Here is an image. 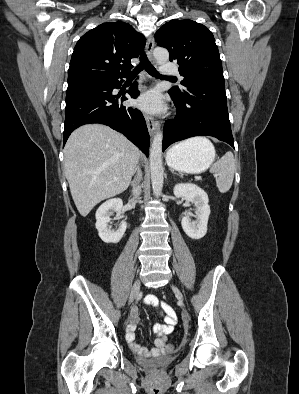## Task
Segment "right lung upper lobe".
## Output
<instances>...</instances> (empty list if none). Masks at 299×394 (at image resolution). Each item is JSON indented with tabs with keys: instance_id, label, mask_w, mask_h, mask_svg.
I'll return each instance as SVG.
<instances>
[{
	"instance_id": "cb5924a9",
	"label": "right lung upper lobe",
	"mask_w": 299,
	"mask_h": 394,
	"mask_svg": "<svg viewBox=\"0 0 299 394\" xmlns=\"http://www.w3.org/2000/svg\"><path fill=\"white\" fill-rule=\"evenodd\" d=\"M145 43V37L125 22L100 24L77 42L68 85L127 75L133 68L130 60L139 56Z\"/></svg>"
}]
</instances>
